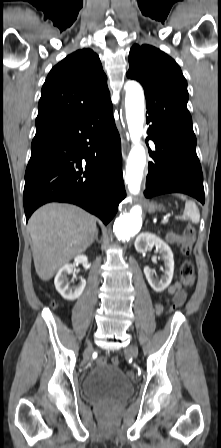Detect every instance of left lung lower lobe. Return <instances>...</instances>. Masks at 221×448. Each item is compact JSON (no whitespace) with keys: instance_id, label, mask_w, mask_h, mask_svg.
<instances>
[{"instance_id":"obj_1","label":"left lung lower lobe","mask_w":221,"mask_h":448,"mask_svg":"<svg viewBox=\"0 0 221 448\" xmlns=\"http://www.w3.org/2000/svg\"><path fill=\"white\" fill-rule=\"evenodd\" d=\"M148 138L156 146L148 164L147 198L171 192L185 193L204 204L203 174L196 155V137L148 116Z\"/></svg>"}]
</instances>
